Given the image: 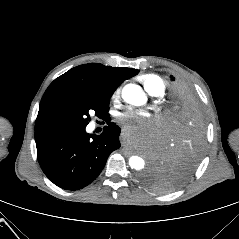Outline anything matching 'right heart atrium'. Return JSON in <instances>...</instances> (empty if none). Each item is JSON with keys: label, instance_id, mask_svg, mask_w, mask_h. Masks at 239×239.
Returning <instances> with one entry per match:
<instances>
[{"label": "right heart atrium", "instance_id": "obj_1", "mask_svg": "<svg viewBox=\"0 0 239 239\" xmlns=\"http://www.w3.org/2000/svg\"><path fill=\"white\" fill-rule=\"evenodd\" d=\"M120 93H121V89L119 87L114 89V91L112 92V95H111L112 100L117 99L120 96Z\"/></svg>", "mask_w": 239, "mask_h": 239}]
</instances>
